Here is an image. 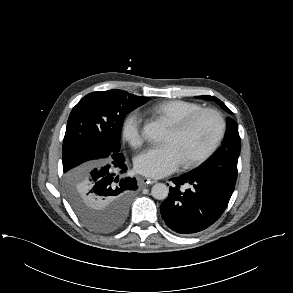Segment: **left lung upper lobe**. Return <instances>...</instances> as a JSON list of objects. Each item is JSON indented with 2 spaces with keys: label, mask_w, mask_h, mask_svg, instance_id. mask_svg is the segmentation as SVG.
<instances>
[{
  "label": "left lung upper lobe",
  "mask_w": 293,
  "mask_h": 293,
  "mask_svg": "<svg viewBox=\"0 0 293 293\" xmlns=\"http://www.w3.org/2000/svg\"><path fill=\"white\" fill-rule=\"evenodd\" d=\"M207 100H214L225 111L232 113L226 105L214 96H200ZM240 155V136L238 125L231 118H227V132L222 147L203 165L193 170L201 175L219 177L235 185L237 179V162Z\"/></svg>",
  "instance_id": "1"
}]
</instances>
